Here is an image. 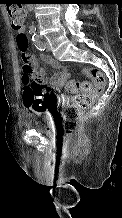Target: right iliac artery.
<instances>
[{
    "label": "right iliac artery",
    "instance_id": "82829eb1",
    "mask_svg": "<svg viewBox=\"0 0 122 218\" xmlns=\"http://www.w3.org/2000/svg\"><path fill=\"white\" fill-rule=\"evenodd\" d=\"M35 31H36V29H33V28H31V29L29 30V32H30L31 34H35Z\"/></svg>",
    "mask_w": 122,
    "mask_h": 218
}]
</instances>
